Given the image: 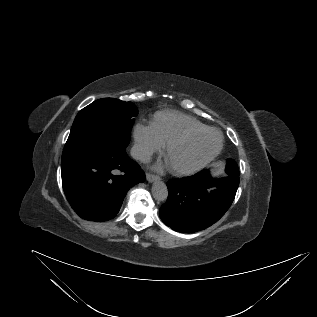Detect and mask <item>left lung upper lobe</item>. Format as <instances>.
I'll return each instance as SVG.
<instances>
[{
  "label": "left lung upper lobe",
  "instance_id": "1",
  "mask_svg": "<svg viewBox=\"0 0 317 317\" xmlns=\"http://www.w3.org/2000/svg\"><path fill=\"white\" fill-rule=\"evenodd\" d=\"M227 172L234 173L236 175H239L238 167L236 162L233 159H228L227 160V167H226Z\"/></svg>",
  "mask_w": 317,
  "mask_h": 317
}]
</instances>
